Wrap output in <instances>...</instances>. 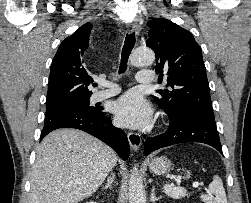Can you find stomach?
I'll return each instance as SVG.
<instances>
[{"label": "stomach", "mask_w": 251, "mask_h": 203, "mask_svg": "<svg viewBox=\"0 0 251 203\" xmlns=\"http://www.w3.org/2000/svg\"><path fill=\"white\" fill-rule=\"evenodd\" d=\"M172 163L166 157H157L149 162V169L151 172L162 175L170 172Z\"/></svg>", "instance_id": "stomach-1"}]
</instances>
